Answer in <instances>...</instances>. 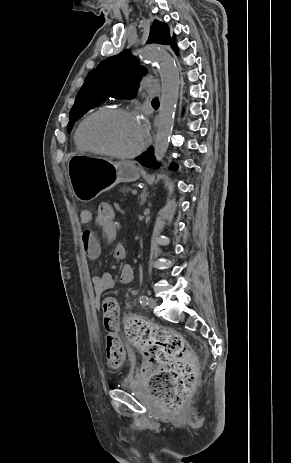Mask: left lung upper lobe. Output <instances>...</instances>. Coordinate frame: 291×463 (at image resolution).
<instances>
[{
  "label": "left lung upper lobe",
  "mask_w": 291,
  "mask_h": 463,
  "mask_svg": "<svg viewBox=\"0 0 291 463\" xmlns=\"http://www.w3.org/2000/svg\"><path fill=\"white\" fill-rule=\"evenodd\" d=\"M147 43L171 45L177 51L175 39L170 37L168 26L157 20L150 28ZM145 74L146 70L129 50L102 61L96 69L88 73L76 96L70 111L68 131L75 121L107 98H132L138 89L140 77Z\"/></svg>",
  "instance_id": "1"
}]
</instances>
